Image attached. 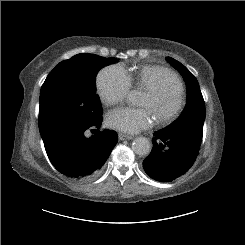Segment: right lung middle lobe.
I'll return each instance as SVG.
<instances>
[{"label":"right lung middle lobe","instance_id":"1","mask_svg":"<svg viewBox=\"0 0 245 245\" xmlns=\"http://www.w3.org/2000/svg\"><path fill=\"white\" fill-rule=\"evenodd\" d=\"M91 54H78L59 63L41 87L39 130L42 139L70 127H87L101 118L95 96V77L105 65L115 62Z\"/></svg>","mask_w":245,"mask_h":245}]
</instances>
